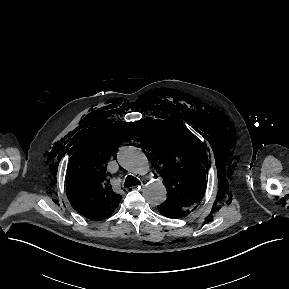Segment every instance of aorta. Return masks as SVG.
<instances>
[{"mask_svg":"<svg viewBox=\"0 0 289 289\" xmlns=\"http://www.w3.org/2000/svg\"><path fill=\"white\" fill-rule=\"evenodd\" d=\"M117 159L123 168L137 175L145 177L153 174L150 162L139 148L122 147L118 152ZM143 196L149 204L159 205L167 198L166 187L161 180L151 177L144 186Z\"/></svg>","mask_w":289,"mask_h":289,"instance_id":"aorta-1","label":"aorta"}]
</instances>
